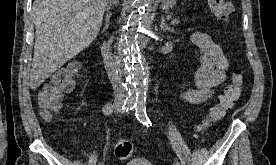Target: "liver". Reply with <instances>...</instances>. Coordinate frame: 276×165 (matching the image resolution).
<instances>
[{
  "label": "liver",
  "mask_w": 276,
  "mask_h": 165,
  "mask_svg": "<svg viewBox=\"0 0 276 165\" xmlns=\"http://www.w3.org/2000/svg\"><path fill=\"white\" fill-rule=\"evenodd\" d=\"M108 0H35L36 28L30 87L35 90L52 73L97 37Z\"/></svg>",
  "instance_id": "1"
}]
</instances>
